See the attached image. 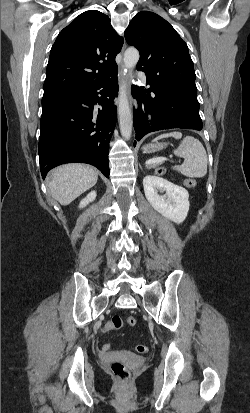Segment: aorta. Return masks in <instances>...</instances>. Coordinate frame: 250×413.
Listing matches in <instances>:
<instances>
[{
	"mask_svg": "<svg viewBox=\"0 0 250 413\" xmlns=\"http://www.w3.org/2000/svg\"><path fill=\"white\" fill-rule=\"evenodd\" d=\"M139 52L135 48H128L124 53V73H127L131 69L135 67L139 60ZM118 117H119V127L121 135L125 139H129L132 134V114L130 111L128 98H127V90H126V83L122 81L119 87V95H118Z\"/></svg>",
	"mask_w": 250,
	"mask_h": 413,
	"instance_id": "aorta-1",
	"label": "aorta"
}]
</instances>
